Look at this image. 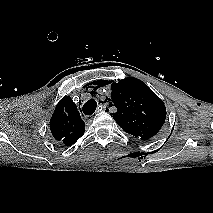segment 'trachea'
<instances>
[{
    "label": "trachea",
    "mask_w": 213,
    "mask_h": 213,
    "mask_svg": "<svg viewBox=\"0 0 213 213\" xmlns=\"http://www.w3.org/2000/svg\"><path fill=\"white\" fill-rule=\"evenodd\" d=\"M97 107V103L94 99L88 100L84 105H83V113L85 115H92Z\"/></svg>",
    "instance_id": "3493384b"
}]
</instances>
